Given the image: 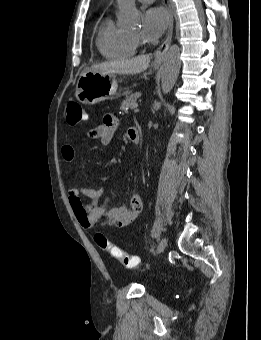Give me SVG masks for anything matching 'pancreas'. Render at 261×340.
Wrapping results in <instances>:
<instances>
[{"instance_id":"obj_1","label":"pancreas","mask_w":261,"mask_h":340,"mask_svg":"<svg viewBox=\"0 0 261 340\" xmlns=\"http://www.w3.org/2000/svg\"><path fill=\"white\" fill-rule=\"evenodd\" d=\"M126 99L121 103L120 110L128 112L129 109H133L136 105L137 99L141 96V93L131 94L129 91L124 93Z\"/></svg>"}]
</instances>
